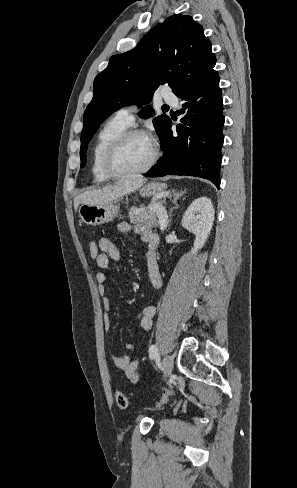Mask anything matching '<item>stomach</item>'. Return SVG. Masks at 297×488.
<instances>
[{
  "instance_id": "obj_1",
  "label": "stomach",
  "mask_w": 297,
  "mask_h": 488,
  "mask_svg": "<svg viewBox=\"0 0 297 488\" xmlns=\"http://www.w3.org/2000/svg\"><path fill=\"white\" fill-rule=\"evenodd\" d=\"M167 185L160 182H150L139 189V193L144 197H152L153 199L161 198L166 191ZM119 206L114 203L110 204H82L79 208V216L81 220L91 226H97L108 223L117 217Z\"/></svg>"
}]
</instances>
